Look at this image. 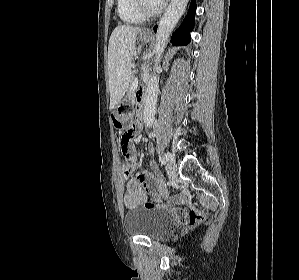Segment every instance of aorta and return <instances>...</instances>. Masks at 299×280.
Segmentation results:
<instances>
[{"instance_id": "aorta-1", "label": "aorta", "mask_w": 299, "mask_h": 280, "mask_svg": "<svg viewBox=\"0 0 299 280\" xmlns=\"http://www.w3.org/2000/svg\"><path fill=\"white\" fill-rule=\"evenodd\" d=\"M187 3L188 0H171L170 5L159 22L154 47V71H157L160 67L161 56L165 50L169 36L183 15ZM158 82L157 74L153 73L150 75L146 86L144 99V122L147 127H151L153 125L155 118L159 90Z\"/></svg>"}]
</instances>
